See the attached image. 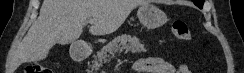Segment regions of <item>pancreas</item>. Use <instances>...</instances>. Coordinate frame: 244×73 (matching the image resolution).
<instances>
[{
    "mask_svg": "<svg viewBox=\"0 0 244 73\" xmlns=\"http://www.w3.org/2000/svg\"><path fill=\"white\" fill-rule=\"evenodd\" d=\"M122 51L144 53L146 49L138 38L131 37L130 35H121L113 39L94 56V65L102 66L108 63L115 54L121 53Z\"/></svg>",
    "mask_w": 244,
    "mask_h": 73,
    "instance_id": "1",
    "label": "pancreas"
}]
</instances>
